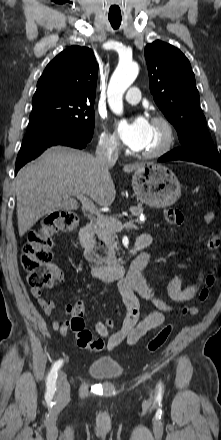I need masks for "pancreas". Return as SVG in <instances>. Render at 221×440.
<instances>
[{
  "label": "pancreas",
  "mask_w": 221,
  "mask_h": 440,
  "mask_svg": "<svg viewBox=\"0 0 221 440\" xmlns=\"http://www.w3.org/2000/svg\"><path fill=\"white\" fill-rule=\"evenodd\" d=\"M143 207L141 204L137 206L130 207V212L133 216H140L143 215ZM118 217H121L119 215ZM111 219H116V217H110ZM93 226V235L97 236L99 240L103 241L105 245L108 248V253L110 256V259H115V253L118 251L117 247V235L113 228V226L101 219H97L92 223Z\"/></svg>",
  "instance_id": "pancreas-1"
}]
</instances>
